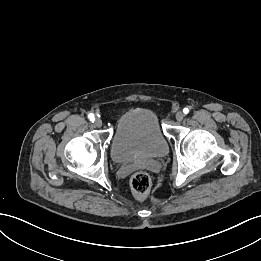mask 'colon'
Listing matches in <instances>:
<instances>
[{
	"label": "colon",
	"instance_id": "obj_1",
	"mask_svg": "<svg viewBox=\"0 0 261 261\" xmlns=\"http://www.w3.org/2000/svg\"><path fill=\"white\" fill-rule=\"evenodd\" d=\"M130 186L134 196L138 199H143L150 192L151 178L148 173L138 171L131 176Z\"/></svg>",
	"mask_w": 261,
	"mask_h": 261
}]
</instances>
